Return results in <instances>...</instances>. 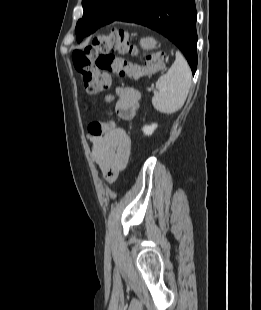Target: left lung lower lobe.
<instances>
[{
    "label": "left lung lower lobe",
    "mask_w": 261,
    "mask_h": 310,
    "mask_svg": "<svg viewBox=\"0 0 261 310\" xmlns=\"http://www.w3.org/2000/svg\"><path fill=\"white\" fill-rule=\"evenodd\" d=\"M113 21H123L147 26L171 40L185 55L192 73L197 69V33L195 0H129L125 9ZM110 22V23H111ZM109 23H86L77 35L94 33Z\"/></svg>",
    "instance_id": "1"
}]
</instances>
